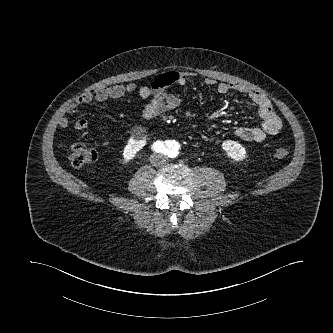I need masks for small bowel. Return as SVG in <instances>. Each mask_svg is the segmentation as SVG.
I'll use <instances>...</instances> for the list:
<instances>
[{
	"label": "small bowel",
	"mask_w": 333,
	"mask_h": 333,
	"mask_svg": "<svg viewBox=\"0 0 333 333\" xmlns=\"http://www.w3.org/2000/svg\"><path fill=\"white\" fill-rule=\"evenodd\" d=\"M191 76L192 74L189 72L166 71L157 75L150 86H137L130 83L101 87L93 92L84 93L67 107L65 115L60 117L58 124L62 128L68 127L70 124L68 115L75 114L80 105L89 104L92 101L104 102L109 99H118L132 93H136L142 99H149V102L142 110V118L150 120L179 107L180 99L176 95L169 93L167 89L172 85H186L188 78ZM205 84L215 86L220 94L236 91L247 95L251 99L261 123L257 127H239L236 130V136L241 140L261 142L267 136L277 135L282 129L283 122L281 118L272 108L268 98L262 93L233 83L216 82L212 78H206ZM87 127L88 122L84 118H80L74 122L76 130H84Z\"/></svg>",
	"instance_id": "small-bowel-1"
}]
</instances>
